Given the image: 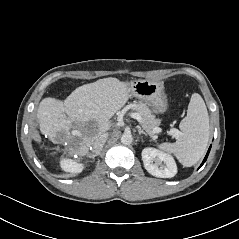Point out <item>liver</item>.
Instances as JSON below:
<instances>
[{
    "label": "liver",
    "instance_id": "obj_1",
    "mask_svg": "<svg viewBox=\"0 0 239 239\" xmlns=\"http://www.w3.org/2000/svg\"><path fill=\"white\" fill-rule=\"evenodd\" d=\"M130 96L128 83L109 77L76 88L64 102L44 98L37 110L40 131L54 143L64 142L71 129L73 135L81 136L84 125L94 122V132L83 136V145L77 154L87 155L90 146L99 153L95 147L97 137L110 129V119Z\"/></svg>",
    "mask_w": 239,
    "mask_h": 239
}]
</instances>
